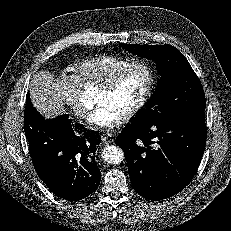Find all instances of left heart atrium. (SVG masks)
<instances>
[{"instance_id": "left-heart-atrium-1", "label": "left heart atrium", "mask_w": 231, "mask_h": 231, "mask_svg": "<svg viewBox=\"0 0 231 231\" xmlns=\"http://www.w3.org/2000/svg\"><path fill=\"white\" fill-rule=\"evenodd\" d=\"M124 115L108 102L100 103L89 116V123L99 128H113L123 119Z\"/></svg>"}]
</instances>
